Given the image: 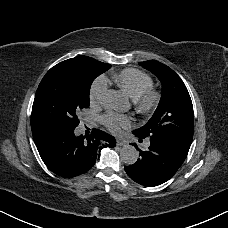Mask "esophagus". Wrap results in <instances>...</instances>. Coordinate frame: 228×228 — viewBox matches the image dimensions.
<instances>
[{
    "instance_id": "34e87169",
    "label": "esophagus",
    "mask_w": 228,
    "mask_h": 228,
    "mask_svg": "<svg viewBox=\"0 0 228 228\" xmlns=\"http://www.w3.org/2000/svg\"><path fill=\"white\" fill-rule=\"evenodd\" d=\"M116 143H117V146H119V147H124V146L128 145V142L121 140V139H117Z\"/></svg>"
}]
</instances>
